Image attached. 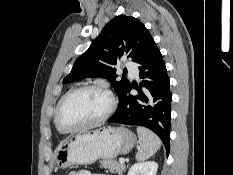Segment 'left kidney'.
<instances>
[{"label": "left kidney", "instance_id": "obj_1", "mask_svg": "<svg viewBox=\"0 0 233 175\" xmlns=\"http://www.w3.org/2000/svg\"><path fill=\"white\" fill-rule=\"evenodd\" d=\"M158 164L154 161L140 162L134 164L127 175H156Z\"/></svg>", "mask_w": 233, "mask_h": 175}]
</instances>
